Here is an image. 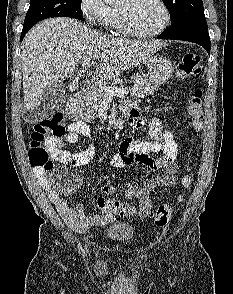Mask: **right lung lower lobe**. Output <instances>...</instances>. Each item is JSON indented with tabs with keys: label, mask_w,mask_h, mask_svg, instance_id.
Here are the masks:
<instances>
[{
	"label": "right lung lower lobe",
	"mask_w": 233,
	"mask_h": 294,
	"mask_svg": "<svg viewBox=\"0 0 233 294\" xmlns=\"http://www.w3.org/2000/svg\"><path fill=\"white\" fill-rule=\"evenodd\" d=\"M30 28H24L23 27V30H22V33H21V40L24 38L25 34L27 33V31L29 30Z\"/></svg>",
	"instance_id": "98d812e1"
}]
</instances>
